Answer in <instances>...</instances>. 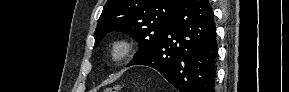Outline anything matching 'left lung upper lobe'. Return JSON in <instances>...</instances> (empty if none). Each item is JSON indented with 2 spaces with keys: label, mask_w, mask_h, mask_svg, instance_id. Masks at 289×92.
Here are the masks:
<instances>
[{
  "label": "left lung upper lobe",
  "mask_w": 289,
  "mask_h": 92,
  "mask_svg": "<svg viewBox=\"0 0 289 92\" xmlns=\"http://www.w3.org/2000/svg\"><path fill=\"white\" fill-rule=\"evenodd\" d=\"M185 0H108L94 32L97 47L107 32L121 31L139 42L134 62L150 54Z\"/></svg>",
  "instance_id": "obj_1"
}]
</instances>
